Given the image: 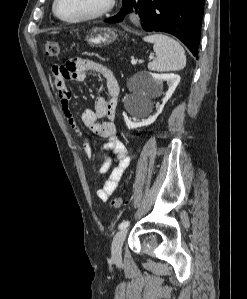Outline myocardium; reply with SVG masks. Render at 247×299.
Returning a JSON list of instances; mask_svg holds the SVG:
<instances>
[{
	"mask_svg": "<svg viewBox=\"0 0 247 299\" xmlns=\"http://www.w3.org/2000/svg\"><path fill=\"white\" fill-rule=\"evenodd\" d=\"M58 2H59V0H54L53 5H52V11H53L54 16L64 23L75 24V23H81V22L95 20V19L102 17L103 15H105L107 12H109L112 9V7L114 6L115 0H104L102 5L96 11L89 13L87 15H84V16H80L77 18H71V19L63 18L58 14V12H57Z\"/></svg>",
	"mask_w": 247,
	"mask_h": 299,
	"instance_id": "1",
	"label": "myocardium"
}]
</instances>
